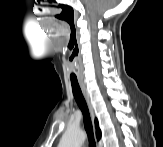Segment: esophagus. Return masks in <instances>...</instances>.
I'll use <instances>...</instances> for the list:
<instances>
[{
    "instance_id": "34e87169",
    "label": "esophagus",
    "mask_w": 163,
    "mask_h": 147,
    "mask_svg": "<svg viewBox=\"0 0 163 147\" xmlns=\"http://www.w3.org/2000/svg\"><path fill=\"white\" fill-rule=\"evenodd\" d=\"M81 89H82V92H83V94H84V96L86 98V101H87V104H88V107H89V111H90L91 117H92V119H94V110H93V107L91 105V102H90L88 93L86 91L85 85L83 83H81Z\"/></svg>"
}]
</instances>
